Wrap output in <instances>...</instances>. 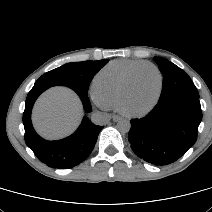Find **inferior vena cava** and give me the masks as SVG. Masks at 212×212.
<instances>
[{
  "label": "inferior vena cava",
  "mask_w": 212,
  "mask_h": 212,
  "mask_svg": "<svg viewBox=\"0 0 212 212\" xmlns=\"http://www.w3.org/2000/svg\"><path fill=\"white\" fill-rule=\"evenodd\" d=\"M91 120L94 124L104 125L110 120V116L107 113L95 111L91 116Z\"/></svg>",
  "instance_id": "obj_1"
}]
</instances>
